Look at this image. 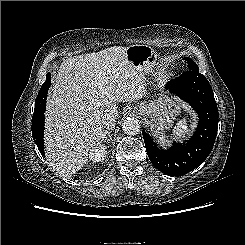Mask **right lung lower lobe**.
Masks as SVG:
<instances>
[{"label":"right lung lower lobe","instance_id":"1","mask_svg":"<svg viewBox=\"0 0 245 245\" xmlns=\"http://www.w3.org/2000/svg\"><path fill=\"white\" fill-rule=\"evenodd\" d=\"M44 113L45 108L41 109V111H34L32 117V137L41 153L44 155V140H43V133H44Z\"/></svg>","mask_w":245,"mask_h":245}]
</instances>
